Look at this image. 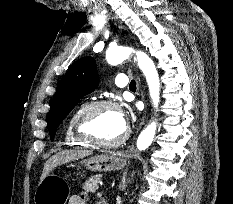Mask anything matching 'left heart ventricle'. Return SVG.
<instances>
[{
  "label": "left heart ventricle",
  "mask_w": 233,
  "mask_h": 204,
  "mask_svg": "<svg viewBox=\"0 0 233 204\" xmlns=\"http://www.w3.org/2000/svg\"><path fill=\"white\" fill-rule=\"evenodd\" d=\"M86 132L94 139L111 141L119 138L125 131L120 112L112 108L95 111L86 123Z\"/></svg>",
  "instance_id": "b2bd125f"
}]
</instances>
